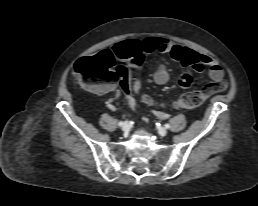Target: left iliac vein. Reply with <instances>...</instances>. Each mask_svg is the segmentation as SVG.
I'll return each mask as SVG.
<instances>
[{
    "label": "left iliac vein",
    "instance_id": "1",
    "mask_svg": "<svg viewBox=\"0 0 258 206\" xmlns=\"http://www.w3.org/2000/svg\"><path fill=\"white\" fill-rule=\"evenodd\" d=\"M158 132L161 136H165L167 134V130L164 127H160Z\"/></svg>",
    "mask_w": 258,
    "mask_h": 206
}]
</instances>
